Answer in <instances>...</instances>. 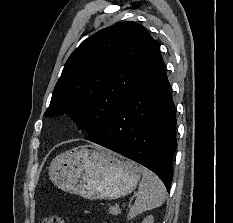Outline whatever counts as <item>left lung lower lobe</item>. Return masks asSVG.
<instances>
[{
  "label": "left lung lower lobe",
  "mask_w": 233,
  "mask_h": 223,
  "mask_svg": "<svg viewBox=\"0 0 233 223\" xmlns=\"http://www.w3.org/2000/svg\"><path fill=\"white\" fill-rule=\"evenodd\" d=\"M160 50L137 88L90 141L147 167L170 190L176 115Z\"/></svg>",
  "instance_id": "1"
}]
</instances>
